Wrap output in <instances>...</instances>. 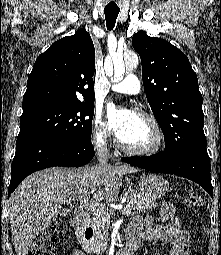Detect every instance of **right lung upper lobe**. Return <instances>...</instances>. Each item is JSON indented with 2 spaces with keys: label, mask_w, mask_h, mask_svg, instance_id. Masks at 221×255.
<instances>
[{
  "label": "right lung upper lobe",
  "mask_w": 221,
  "mask_h": 255,
  "mask_svg": "<svg viewBox=\"0 0 221 255\" xmlns=\"http://www.w3.org/2000/svg\"><path fill=\"white\" fill-rule=\"evenodd\" d=\"M95 49L85 29L53 43L28 77L23 110L43 105L93 103Z\"/></svg>",
  "instance_id": "right-lung-upper-lobe-1"
}]
</instances>
